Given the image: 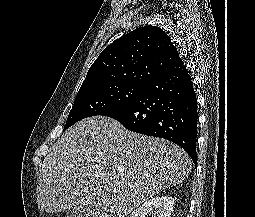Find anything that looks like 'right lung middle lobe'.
<instances>
[{
	"label": "right lung middle lobe",
	"mask_w": 255,
	"mask_h": 217,
	"mask_svg": "<svg viewBox=\"0 0 255 217\" xmlns=\"http://www.w3.org/2000/svg\"><path fill=\"white\" fill-rule=\"evenodd\" d=\"M146 87L143 84H112L78 92L64 130L84 118L102 115L127 105Z\"/></svg>",
	"instance_id": "obj_1"
}]
</instances>
